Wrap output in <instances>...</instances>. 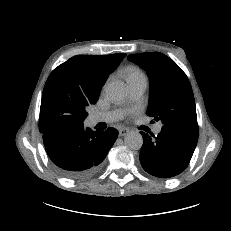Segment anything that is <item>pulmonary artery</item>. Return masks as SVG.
Returning a JSON list of instances; mask_svg holds the SVG:
<instances>
[{
    "label": "pulmonary artery",
    "mask_w": 231,
    "mask_h": 231,
    "mask_svg": "<svg viewBox=\"0 0 231 231\" xmlns=\"http://www.w3.org/2000/svg\"><path fill=\"white\" fill-rule=\"evenodd\" d=\"M147 87L146 82H140L136 84H132L129 86L130 95L134 100H138L143 93L145 92ZM123 117V112L120 110H114L109 112H95L90 114L89 121L91 124H97L99 122H114ZM162 130V125L157 124L153 131L155 134H159Z\"/></svg>",
    "instance_id": "1"
}]
</instances>
